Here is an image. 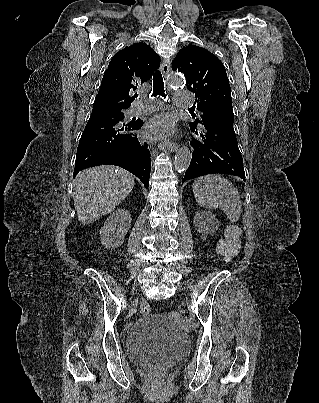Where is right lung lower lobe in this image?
<instances>
[{"label": "right lung lower lobe", "mask_w": 319, "mask_h": 403, "mask_svg": "<svg viewBox=\"0 0 319 403\" xmlns=\"http://www.w3.org/2000/svg\"><path fill=\"white\" fill-rule=\"evenodd\" d=\"M142 125L139 119L130 122L113 117L89 119L79 141L74 176L88 167L112 164L130 171L148 188L149 146L136 133Z\"/></svg>", "instance_id": "1"}]
</instances>
